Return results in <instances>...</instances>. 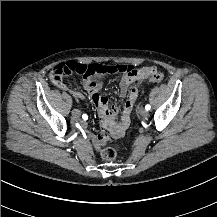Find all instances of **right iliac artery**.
Returning <instances> with one entry per match:
<instances>
[{"mask_svg":"<svg viewBox=\"0 0 217 217\" xmlns=\"http://www.w3.org/2000/svg\"><path fill=\"white\" fill-rule=\"evenodd\" d=\"M87 118H88V117H87L86 114H83V115H82V120H87Z\"/></svg>","mask_w":217,"mask_h":217,"instance_id":"right-iliac-artery-1","label":"right iliac artery"}]
</instances>
